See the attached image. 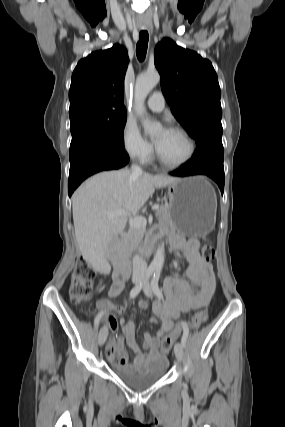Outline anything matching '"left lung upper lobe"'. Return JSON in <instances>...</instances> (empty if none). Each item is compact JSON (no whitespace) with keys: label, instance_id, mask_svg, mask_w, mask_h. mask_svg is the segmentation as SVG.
I'll list each match as a JSON object with an SVG mask.
<instances>
[{"label":"left lung upper lobe","instance_id":"5c2ea615","mask_svg":"<svg viewBox=\"0 0 285 427\" xmlns=\"http://www.w3.org/2000/svg\"><path fill=\"white\" fill-rule=\"evenodd\" d=\"M154 62L173 115L198 148L222 143L221 91L211 62L169 38L156 45Z\"/></svg>","mask_w":285,"mask_h":427}]
</instances>
